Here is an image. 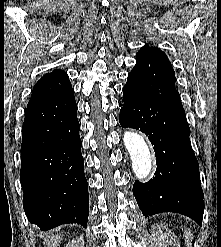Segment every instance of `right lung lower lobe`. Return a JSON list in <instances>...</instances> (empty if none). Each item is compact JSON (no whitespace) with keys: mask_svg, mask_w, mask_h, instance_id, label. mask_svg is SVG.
Returning a JSON list of instances; mask_svg holds the SVG:
<instances>
[{"mask_svg":"<svg viewBox=\"0 0 221 247\" xmlns=\"http://www.w3.org/2000/svg\"><path fill=\"white\" fill-rule=\"evenodd\" d=\"M74 90L29 105L22 127L20 179L23 208L31 224L49 230L87 226L88 183L84 174Z\"/></svg>","mask_w":221,"mask_h":247,"instance_id":"98d812e1","label":"right lung lower lobe"}]
</instances>
